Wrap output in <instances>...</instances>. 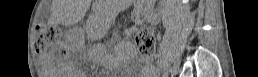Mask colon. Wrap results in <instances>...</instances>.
<instances>
[{
  "label": "colon",
  "mask_w": 258,
  "mask_h": 77,
  "mask_svg": "<svg viewBox=\"0 0 258 77\" xmlns=\"http://www.w3.org/2000/svg\"><path fill=\"white\" fill-rule=\"evenodd\" d=\"M59 38V32L46 24H38L36 27V44L44 49L50 43ZM137 49L143 61H149L156 48V36L150 28L139 31L135 37Z\"/></svg>",
  "instance_id": "1"
}]
</instances>
